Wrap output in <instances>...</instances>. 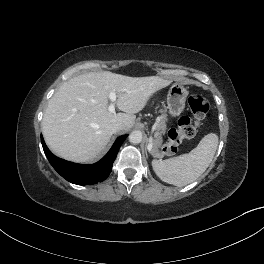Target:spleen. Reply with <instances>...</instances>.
<instances>
[{
    "instance_id": "obj_1",
    "label": "spleen",
    "mask_w": 264,
    "mask_h": 264,
    "mask_svg": "<svg viewBox=\"0 0 264 264\" xmlns=\"http://www.w3.org/2000/svg\"><path fill=\"white\" fill-rule=\"evenodd\" d=\"M217 146L218 136L215 133H209L188 154L166 160H153V170L164 182L177 187L186 186L206 171L212 162Z\"/></svg>"
}]
</instances>
